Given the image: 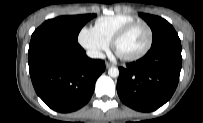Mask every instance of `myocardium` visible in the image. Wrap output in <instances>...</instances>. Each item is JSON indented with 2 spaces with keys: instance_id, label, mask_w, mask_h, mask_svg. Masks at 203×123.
<instances>
[{
  "instance_id": "f54148a6",
  "label": "myocardium",
  "mask_w": 203,
  "mask_h": 123,
  "mask_svg": "<svg viewBox=\"0 0 203 123\" xmlns=\"http://www.w3.org/2000/svg\"><path fill=\"white\" fill-rule=\"evenodd\" d=\"M138 25H143L147 29V32H148V41H147L145 48L142 51H140L139 53L131 55V56H124V55L119 54L117 51V45H118L119 41L121 39H123L134 27H136ZM111 44H112L113 51L120 59H122L124 61H136V60L144 57L150 51V49L152 47V44H153L152 28L147 22H145L143 20H137V21L131 22V23L127 24L126 26H124L121 30H119L116 33V35L113 37V39L111 41Z\"/></svg>"
}]
</instances>
